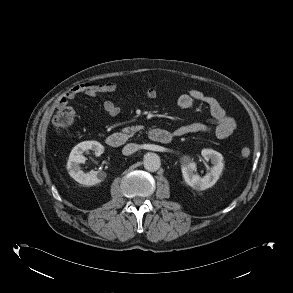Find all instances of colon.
<instances>
[{"label": "colon", "mask_w": 293, "mask_h": 293, "mask_svg": "<svg viewBox=\"0 0 293 293\" xmlns=\"http://www.w3.org/2000/svg\"><path fill=\"white\" fill-rule=\"evenodd\" d=\"M74 120V110L68 105H58L57 110L53 116L54 128L60 132L66 129ZM249 148H242L240 150L241 158H248L250 156Z\"/></svg>", "instance_id": "colon-1"}]
</instances>
